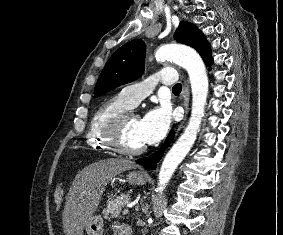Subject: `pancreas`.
Wrapping results in <instances>:
<instances>
[{"label": "pancreas", "mask_w": 283, "mask_h": 235, "mask_svg": "<svg viewBox=\"0 0 283 235\" xmlns=\"http://www.w3.org/2000/svg\"><path fill=\"white\" fill-rule=\"evenodd\" d=\"M130 200L129 194H121L115 198L108 200L106 208L103 210L105 219L110 220L111 217L118 215L122 207Z\"/></svg>", "instance_id": "1"}]
</instances>
